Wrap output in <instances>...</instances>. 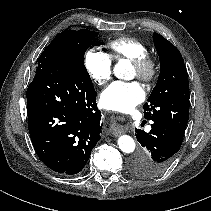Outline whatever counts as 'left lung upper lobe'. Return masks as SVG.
<instances>
[{
	"label": "left lung upper lobe",
	"mask_w": 211,
	"mask_h": 211,
	"mask_svg": "<svg viewBox=\"0 0 211 211\" xmlns=\"http://www.w3.org/2000/svg\"><path fill=\"white\" fill-rule=\"evenodd\" d=\"M160 60V74L148 102L143 105L148 120L168 122L185 132L189 119V82L180 51L158 33L153 34Z\"/></svg>",
	"instance_id": "left-lung-upper-lobe-1"
}]
</instances>
